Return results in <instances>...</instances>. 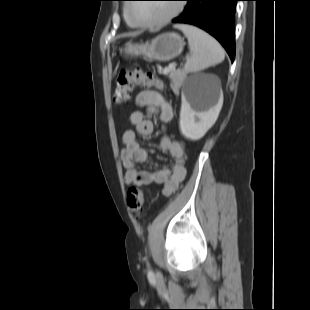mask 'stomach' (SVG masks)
Instances as JSON below:
<instances>
[{
	"label": "stomach",
	"mask_w": 310,
	"mask_h": 310,
	"mask_svg": "<svg viewBox=\"0 0 310 310\" xmlns=\"http://www.w3.org/2000/svg\"><path fill=\"white\" fill-rule=\"evenodd\" d=\"M184 40L177 33H165L145 44L128 43L123 49L126 56H144L149 60L170 61L179 56L184 48Z\"/></svg>",
	"instance_id": "stomach-1"
}]
</instances>
